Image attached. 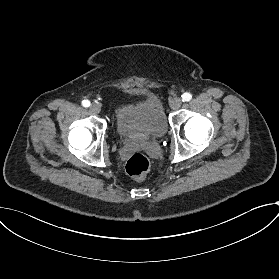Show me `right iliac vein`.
I'll return each mask as SVG.
<instances>
[{
	"mask_svg": "<svg viewBox=\"0 0 279 279\" xmlns=\"http://www.w3.org/2000/svg\"><path fill=\"white\" fill-rule=\"evenodd\" d=\"M90 111L91 113L93 114H98L100 113L101 111V105L99 103H93L91 106H90Z\"/></svg>",
	"mask_w": 279,
	"mask_h": 279,
	"instance_id": "1",
	"label": "right iliac vein"
}]
</instances>
